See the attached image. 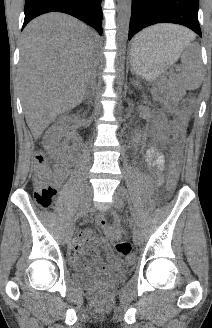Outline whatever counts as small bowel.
Listing matches in <instances>:
<instances>
[{"label":"small bowel","instance_id":"c3829d8e","mask_svg":"<svg viewBox=\"0 0 212 328\" xmlns=\"http://www.w3.org/2000/svg\"><path fill=\"white\" fill-rule=\"evenodd\" d=\"M146 161L148 163H153V165L159 169H162L165 166L163 155L155 148L148 150ZM67 175V169L57 167L53 170L52 180L54 183L59 184ZM160 180L161 179H159V181ZM98 224L102 228L105 236L110 240L115 239L121 232L118 222L110 225L103 217H99ZM98 245L103 247L106 251L108 258L107 263L101 259L97 251ZM70 254L74 259L79 258L83 254L90 255L93 267L98 272H113L126 269L125 264L111 252L109 245L98 237L92 229H84L79 233L78 237L75 238L70 245Z\"/></svg>","mask_w":212,"mask_h":328}]
</instances>
